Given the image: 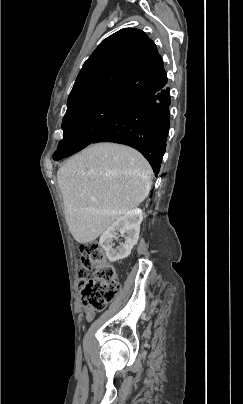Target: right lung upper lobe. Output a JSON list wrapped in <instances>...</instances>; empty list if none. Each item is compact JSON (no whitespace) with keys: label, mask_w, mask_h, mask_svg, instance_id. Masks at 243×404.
<instances>
[{"label":"right lung upper lobe","mask_w":243,"mask_h":404,"mask_svg":"<svg viewBox=\"0 0 243 404\" xmlns=\"http://www.w3.org/2000/svg\"><path fill=\"white\" fill-rule=\"evenodd\" d=\"M166 82L154 42L141 30L121 29L101 42L85 61L69 94L67 111L97 100H129L160 90Z\"/></svg>","instance_id":"cb5924a9"}]
</instances>
